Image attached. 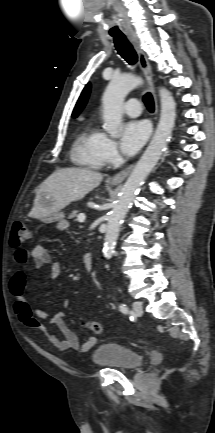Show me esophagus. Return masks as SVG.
Listing matches in <instances>:
<instances>
[{
  "instance_id": "esophagus-1",
  "label": "esophagus",
  "mask_w": 215,
  "mask_h": 433,
  "mask_svg": "<svg viewBox=\"0 0 215 433\" xmlns=\"http://www.w3.org/2000/svg\"><path fill=\"white\" fill-rule=\"evenodd\" d=\"M129 41L132 43L139 60V65L144 73V76L148 82L150 92L152 93L154 104H155V119L158 113V99L157 95L154 89L153 85V75L151 71V66L149 64V61L147 59V56L145 52L142 50L140 45V40L135 32H130L127 34ZM133 168V165L128 166L127 168L123 169L119 173L115 174L111 179L110 182L114 185L122 183L127 176L130 174L131 170Z\"/></svg>"
}]
</instances>
